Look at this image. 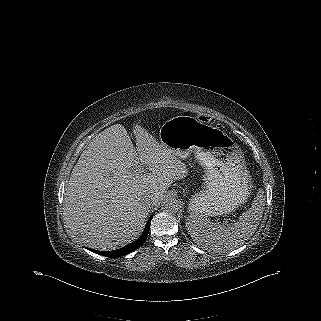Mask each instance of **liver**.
<instances>
[{
    "mask_svg": "<svg viewBox=\"0 0 321 321\" xmlns=\"http://www.w3.org/2000/svg\"><path fill=\"white\" fill-rule=\"evenodd\" d=\"M134 147L126 129L115 124L92 139L74 166L64 194V217L82 243L114 250L142 232L150 207L187 169L172 152L135 125ZM139 162L149 173L136 171Z\"/></svg>",
    "mask_w": 321,
    "mask_h": 321,
    "instance_id": "liver-1",
    "label": "liver"
}]
</instances>
